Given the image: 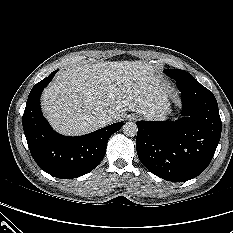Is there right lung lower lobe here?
Wrapping results in <instances>:
<instances>
[{"label": "right lung lower lobe", "instance_id": "1", "mask_svg": "<svg viewBox=\"0 0 233 233\" xmlns=\"http://www.w3.org/2000/svg\"><path fill=\"white\" fill-rule=\"evenodd\" d=\"M57 71L32 88L22 123L28 147L37 165L54 177L72 179L89 173L102 161L108 139L123 126V122L77 137L55 132L43 117L40 96Z\"/></svg>", "mask_w": 233, "mask_h": 233}]
</instances>
